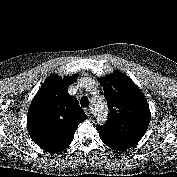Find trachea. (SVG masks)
<instances>
[{"label":"trachea","instance_id":"obj_1","mask_svg":"<svg viewBox=\"0 0 177 177\" xmlns=\"http://www.w3.org/2000/svg\"><path fill=\"white\" fill-rule=\"evenodd\" d=\"M80 104L82 107H88L89 105V100L86 96H83L80 100Z\"/></svg>","mask_w":177,"mask_h":177}]
</instances>
